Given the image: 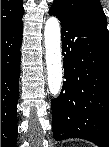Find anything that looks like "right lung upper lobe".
<instances>
[{"mask_svg": "<svg viewBox=\"0 0 109 147\" xmlns=\"http://www.w3.org/2000/svg\"><path fill=\"white\" fill-rule=\"evenodd\" d=\"M23 13L22 0H1V31L15 25L22 19Z\"/></svg>", "mask_w": 109, "mask_h": 147, "instance_id": "1", "label": "right lung upper lobe"}]
</instances>
